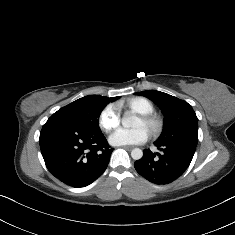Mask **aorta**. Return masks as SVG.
I'll list each match as a JSON object with an SVG mask.
<instances>
[{"instance_id": "762f6f07", "label": "aorta", "mask_w": 235, "mask_h": 235, "mask_svg": "<svg viewBox=\"0 0 235 235\" xmlns=\"http://www.w3.org/2000/svg\"><path fill=\"white\" fill-rule=\"evenodd\" d=\"M136 122L137 124H140V120L137 117H133V116H124L122 118V125L125 128H130L132 127L133 123ZM131 157L134 160H139L143 157V151L139 148H134L131 151Z\"/></svg>"}]
</instances>
